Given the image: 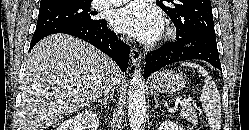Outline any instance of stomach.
Returning a JSON list of instances; mask_svg holds the SVG:
<instances>
[{
	"label": "stomach",
	"instance_id": "obj_1",
	"mask_svg": "<svg viewBox=\"0 0 249 130\" xmlns=\"http://www.w3.org/2000/svg\"><path fill=\"white\" fill-rule=\"evenodd\" d=\"M150 85L157 92L173 94L184 87L185 80L173 70H162L151 78Z\"/></svg>",
	"mask_w": 249,
	"mask_h": 130
}]
</instances>
